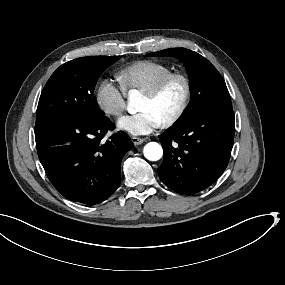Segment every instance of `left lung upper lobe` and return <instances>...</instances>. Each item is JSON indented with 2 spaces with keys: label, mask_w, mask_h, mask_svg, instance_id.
<instances>
[{
  "label": "left lung upper lobe",
  "mask_w": 285,
  "mask_h": 285,
  "mask_svg": "<svg viewBox=\"0 0 285 285\" xmlns=\"http://www.w3.org/2000/svg\"><path fill=\"white\" fill-rule=\"evenodd\" d=\"M146 56L176 57L187 69L192 98L175 124L194 119L211 110L233 111L230 94L223 77L200 54L185 48H171L148 53Z\"/></svg>",
  "instance_id": "1"
}]
</instances>
